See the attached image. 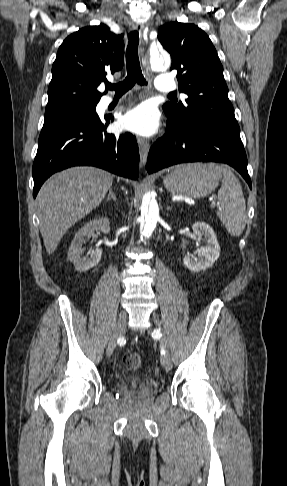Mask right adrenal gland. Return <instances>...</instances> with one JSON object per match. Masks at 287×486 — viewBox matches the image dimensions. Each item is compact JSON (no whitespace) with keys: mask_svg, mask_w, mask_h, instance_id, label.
<instances>
[{"mask_svg":"<svg viewBox=\"0 0 287 486\" xmlns=\"http://www.w3.org/2000/svg\"><path fill=\"white\" fill-rule=\"evenodd\" d=\"M111 199H112L113 201H117V197H116V195H115V193H114V191H113V189H112V188H110V189H109V194H108V197H107L106 201L108 202V201H110Z\"/></svg>","mask_w":287,"mask_h":486,"instance_id":"obj_1","label":"right adrenal gland"}]
</instances>
